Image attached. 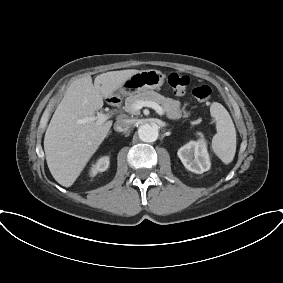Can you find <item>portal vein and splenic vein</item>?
<instances>
[{
  "mask_svg": "<svg viewBox=\"0 0 283 283\" xmlns=\"http://www.w3.org/2000/svg\"><path fill=\"white\" fill-rule=\"evenodd\" d=\"M143 107H150L154 109L161 116L164 114L163 108L154 101H137L134 104H132L131 109L132 111H139ZM109 117H110L109 114L97 113L96 116L81 119L79 122L86 123L88 121H96L98 124H101L107 121Z\"/></svg>",
  "mask_w": 283,
  "mask_h": 283,
  "instance_id": "1",
  "label": "portal vein and splenic vein"
}]
</instances>
